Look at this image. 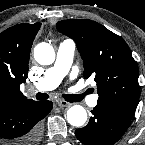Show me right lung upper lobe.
<instances>
[{"label":"right lung upper lobe","mask_w":145,"mask_h":145,"mask_svg":"<svg viewBox=\"0 0 145 145\" xmlns=\"http://www.w3.org/2000/svg\"><path fill=\"white\" fill-rule=\"evenodd\" d=\"M40 25L22 23L0 34V105L28 101L20 84L26 81L30 51Z\"/></svg>","instance_id":"obj_1"}]
</instances>
